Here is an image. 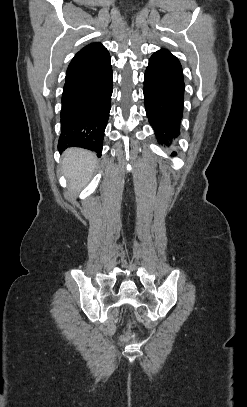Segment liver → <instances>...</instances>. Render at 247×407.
Instances as JSON below:
<instances>
[{
	"label": "liver",
	"instance_id": "liver-1",
	"mask_svg": "<svg viewBox=\"0 0 247 407\" xmlns=\"http://www.w3.org/2000/svg\"><path fill=\"white\" fill-rule=\"evenodd\" d=\"M63 173L72 193L80 191L91 180L95 167L94 153L80 148H70L63 153Z\"/></svg>",
	"mask_w": 247,
	"mask_h": 407
}]
</instances>
